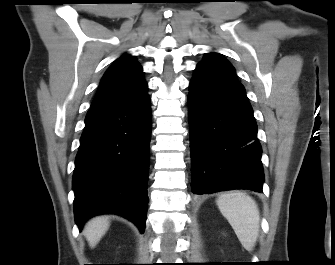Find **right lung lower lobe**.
<instances>
[{
	"label": "right lung lower lobe",
	"instance_id": "1",
	"mask_svg": "<svg viewBox=\"0 0 335 265\" xmlns=\"http://www.w3.org/2000/svg\"><path fill=\"white\" fill-rule=\"evenodd\" d=\"M151 110L147 93L89 109L75 160L73 190L79 229L92 216L119 214L144 232Z\"/></svg>",
	"mask_w": 335,
	"mask_h": 265
}]
</instances>
